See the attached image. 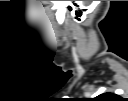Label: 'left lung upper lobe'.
Here are the masks:
<instances>
[{"label":"left lung upper lobe","mask_w":128,"mask_h":101,"mask_svg":"<svg viewBox=\"0 0 128 101\" xmlns=\"http://www.w3.org/2000/svg\"><path fill=\"white\" fill-rule=\"evenodd\" d=\"M117 95L115 94H111V93H105V94H101L98 99L99 100H102V99H110V100H113V99H116Z\"/></svg>","instance_id":"5c2ea615"}]
</instances>
